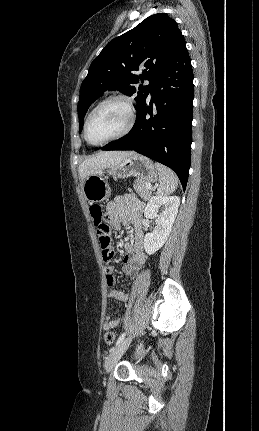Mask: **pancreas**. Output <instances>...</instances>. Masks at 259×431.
<instances>
[{
    "instance_id": "cf45deb5",
    "label": "pancreas",
    "mask_w": 259,
    "mask_h": 431,
    "mask_svg": "<svg viewBox=\"0 0 259 431\" xmlns=\"http://www.w3.org/2000/svg\"><path fill=\"white\" fill-rule=\"evenodd\" d=\"M146 184L144 181L140 180V179H136L134 181L133 187L136 190V192L138 193V195L143 198L144 200H148L151 195H152V191L148 188H146Z\"/></svg>"
}]
</instances>
